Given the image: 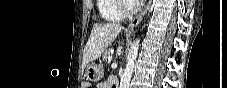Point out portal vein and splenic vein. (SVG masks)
<instances>
[{
    "mask_svg": "<svg viewBox=\"0 0 227 88\" xmlns=\"http://www.w3.org/2000/svg\"><path fill=\"white\" fill-rule=\"evenodd\" d=\"M112 61V56H109L108 57V62H111Z\"/></svg>",
    "mask_w": 227,
    "mask_h": 88,
    "instance_id": "18ae733b",
    "label": "portal vein and splenic vein"
}]
</instances>
